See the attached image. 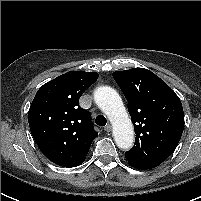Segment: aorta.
<instances>
[{"label":"aorta","mask_w":201,"mask_h":201,"mask_svg":"<svg viewBox=\"0 0 201 201\" xmlns=\"http://www.w3.org/2000/svg\"><path fill=\"white\" fill-rule=\"evenodd\" d=\"M94 101L111 121L117 146L130 149L134 142V129L117 91L109 86L98 87L94 92Z\"/></svg>","instance_id":"obj_1"}]
</instances>
